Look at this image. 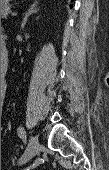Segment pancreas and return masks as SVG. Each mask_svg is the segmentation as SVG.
I'll use <instances>...</instances> for the list:
<instances>
[{"label": "pancreas", "mask_w": 109, "mask_h": 170, "mask_svg": "<svg viewBox=\"0 0 109 170\" xmlns=\"http://www.w3.org/2000/svg\"><path fill=\"white\" fill-rule=\"evenodd\" d=\"M11 13V9L9 5L3 6L1 9V18H7V16Z\"/></svg>", "instance_id": "pancreas-1"}]
</instances>
